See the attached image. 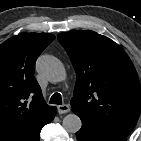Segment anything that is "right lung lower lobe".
<instances>
[{"label": "right lung lower lobe", "instance_id": "1", "mask_svg": "<svg viewBox=\"0 0 141 141\" xmlns=\"http://www.w3.org/2000/svg\"><path fill=\"white\" fill-rule=\"evenodd\" d=\"M55 114V109H54V111H53V115ZM53 115H52V117H51V120L49 121V122H51L52 120H53ZM48 122V123H49ZM40 132H39V134L36 136V137H34L33 139H32V141H40Z\"/></svg>", "mask_w": 141, "mask_h": 141}]
</instances>
